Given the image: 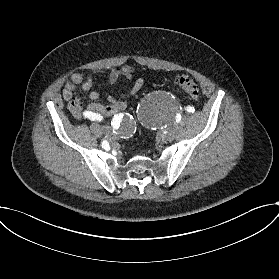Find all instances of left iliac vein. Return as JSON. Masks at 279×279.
I'll use <instances>...</instances> for the list:
<instances>
[{"mask_svg":"<svg viewBox=\"0 0 279 279\" xmlns=\"http://www.w3.org/2000/svg\"><path fill=\"white\" fill-rule=\"evenodd\" d=\"M175 138L173 129H169L165 134V139L169 142H172Z\"/></svg>","mask_w":279,"mask_h":279,"instance_id":"left-iliac-vein-1","label":"left iliac vein"}]
</instances>
